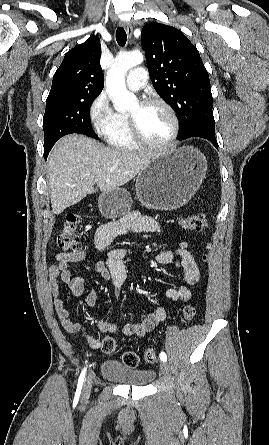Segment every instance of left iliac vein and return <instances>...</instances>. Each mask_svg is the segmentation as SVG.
Returning <instances> with one entry per match:
<instances>
[{"instance_id": "4c4485c4", "label": "left iliac vein", "mask_w": 269, "mask_h": 445, "mask_svg": "<svg viewBox=\"0 0 269 445\" xmlns=\"http://www.w3.org/2000/svg\"><path fill=\"white\" fill-rule=\"evenodd\" d=\"M160 369H161V372H162L164 375H167L168 372H169V366H168V364H167L165 361H162V362L160 363Z\"/></svg>"}]
</instances>
